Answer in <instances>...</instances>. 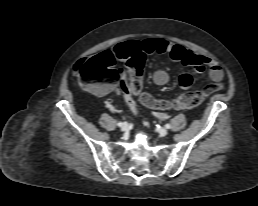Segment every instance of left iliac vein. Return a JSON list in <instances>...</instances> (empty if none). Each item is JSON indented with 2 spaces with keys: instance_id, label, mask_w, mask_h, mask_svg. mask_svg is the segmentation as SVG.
Masks as SVG:
<instances>
[{
  "instance_id": "1",
  "label": "left iliac vein",
  "mask_w": 258,
  "mask_h": 206,
  "mask_svg": "<svg viewBox=\"0 0 258 206\" xmlns=\"http://www.w3.org/2000/svg\"><path fill=\"white\" fill-rule=\"evenodd\" d=\"M167 133H168L167 129H165V128H160L159 134H160L161 136L164 137V136L167 135Z\"/></svg>"
}]
</instances>
